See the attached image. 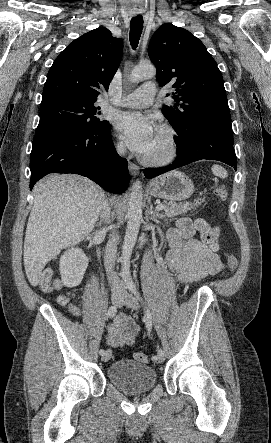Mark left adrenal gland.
I'll return each mask as SVG.
<instances>
[{
	"mask_svg": "<svg viewBox=\"0 0 271 443\" xmlns=\"http://www.w3.org/2000/svg\"><path fill=\"white\" fill-rule=\"evenodd\" d=\"M150 214H151L152 218H163V216H161V214H158V212H153L152 204L150 206Z\"/></svg>",
	"mask_w": 271,
	"mask_h": 443,
	"instance_id": "left-adrenal-gland-1",
	"label": "left adrenal gland"
}]
</instances>
